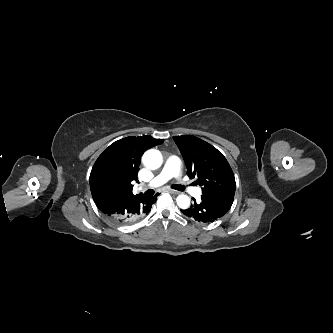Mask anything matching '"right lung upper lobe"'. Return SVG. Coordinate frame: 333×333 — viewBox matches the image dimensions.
<instances>
[{"instance_id": "cb5924a9", "label": "right lung upper lobe", "mask_w": 333, "mask_h": 333, "mask_svg": "<svg viewBox=\"0 0 333 333\" xmlns=\"http://www.w3.org/2000/svg\"><path fill=\"white\" fill-rule=\"evenodd\" d=\"M162 139L151 136L126 137L106 148L96 160L89 178L94 202L116 195L134 196V181L142 154L162 144Z\"/></svg>"}]
</instances>
